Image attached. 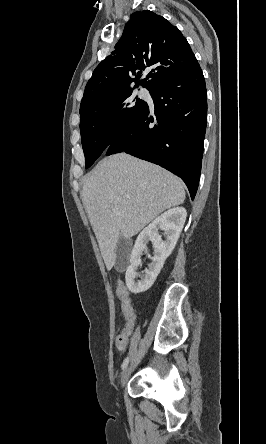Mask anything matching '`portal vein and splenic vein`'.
Returning <instances> with one entry per match:
<instances>
[{
	"label": "portal vein and splenic vein",
	"mask_w": 266,
	"mask_h": 444,
	"mask_svg": "<svg viewBox=\"0 0 266 444\" xmlns=\"http://www.w3.org/2000/svg\"><path fill=\"white\" fill-rule=\"evenodd\" d=\"M126 198H127V199H130V196L127 195Z\"/></svg>",
	"instance_id": "obj_1"
}]
</instances>
